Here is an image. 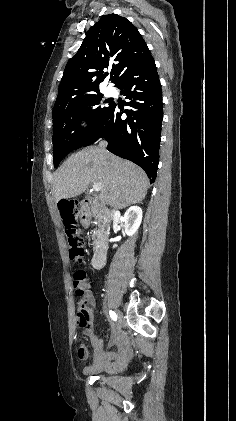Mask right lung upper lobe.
I'll return each mask as SVG.
<instances>
[{
    "label": "right lung upper lobe",
    "instance_id": "obj_1",
    "mask_svg": "<svg viewBox=\"0 0 236 421\" xmlns=\"http://www.w3.org/2000/svg\"><path fill=\"white\" fill-rule=\"evenodd\" d=\"M150 55L137 28L125 17L108 14L89 29L78 52L68 61L54 105L99 93L105 69L113 83L128 68Z\"/></svg>",
    "mask_w": 236,
    "mask_h": 421
}]
</instances>
